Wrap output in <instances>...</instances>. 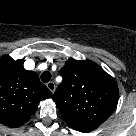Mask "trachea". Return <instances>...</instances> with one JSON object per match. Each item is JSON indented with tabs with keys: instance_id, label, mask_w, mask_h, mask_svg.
I'll use <instances>...</instances> for the list:
<instances>
[{
	"instance_id": "obj_1",
	"label": "trachea",
	"mask_w": 136,
	"mask_h": 136,
	"mask_svg": "<svg viewBox=\"0 0 136 136\" xmlns=\"http://www.w3.org/2000/svg\"><path fill=\"white\" fill-rule=\"evenodd\" d=\"M41 81L47 83L51 79V73L49 71H45L40 76Z\"/></svg>"
}]
</instances>
